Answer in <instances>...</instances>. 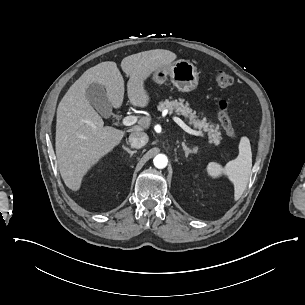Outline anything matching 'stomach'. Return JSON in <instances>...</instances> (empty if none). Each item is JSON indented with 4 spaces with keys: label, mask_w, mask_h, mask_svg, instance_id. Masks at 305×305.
<instances>
[{
    "label": "stomach",
    "mask_w": 305,
    "mask_h": 305,
    "mask_svg": "<svg viewBox=\"0 0 305 305\" xmlns=\"http://www.w3.org/2000/svg\"><path fill=\"white\" fill-rule=\"evenodd\" d=\"M170 76L173 85L182 92H189L198 86V73L196 67L189 60L179 59L167 67H162L153 73V80L163 84Z\"/></svg>",
    "instance_id": "1"
}]
</instances>
